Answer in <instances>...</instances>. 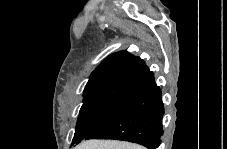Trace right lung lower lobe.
Listing matches in <instances>:
<instances>
[{
	"label": "right lung lower lobe",
	"instance_id": "right-lung-lower-lobe-1",
	"mask_svg": "<svg viewBox=\"0 0 227 149\" xmlns=\"http://www.w3.org/2000/svg\"><path fill=\"white\" fill-rule=\"evenodd\" d=\"M162 93L154 78L139 87L134 96L108 122L92 131L87 139H116L156 149L163 135Z\"/></svg>",
	"mask_w": 227,
	"mask_h": 149
}]
</instances>
